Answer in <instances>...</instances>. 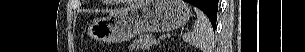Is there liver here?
Masks as SVG:
<instances>
[{"mask_svg":"<svg viewBox=\"0 0 305 52\" xmlns=\"http://www.w3.org/2000/svg\"><path fill=\"white\" fill-rule=\"evenodd\" d=\"M139 4H140V3H139ZM133 6H134V5H132L131 7H133ZM131 7H130V8H131ZM123 10H125V9H123ZM123 10L117 11V12H115V13L121 12V11H123ZM112 14H113V13H112Z\"/></svg>","mask_w":305,"mask_h":52,"instance_id":"liver-1","label":"liver"}]
</instances>
